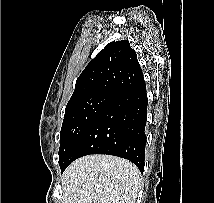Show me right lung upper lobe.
I'll use <instances>...</instances> for the list:
<instances>
[{"instance_id":"right-lung-upper-lobe-1","label":"right lung upper lobe","mask_w":214,"mask_h":203,"mask_svg":"<svg viewBox=\"0 0 214 203\" xmlns=\"http://www.w3.org/2000/svg\"><path fill=\"white\" fill-rule=\"evenodd\" d=\"M142 82V69L129 42L114 41L86 66L69 101L92 94L114 97Z\"/></svg>"}]
</instances>
